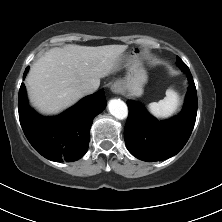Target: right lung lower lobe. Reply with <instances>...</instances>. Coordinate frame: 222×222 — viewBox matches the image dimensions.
<instances>
[{
    "label": "right lung lower lobe",
    "mask_w": 222,
    "mask_h": 222,
    "mask_svg": "<svg viewBox=\"0 0 222 222\" xmlns=\"http://www.w3.org/2000/svg\"><path fill=\"white\" fill-rule=\"evenodd\" d=\"M27 71L28 67L23 77ZM105 106V94L100 90L61 115L44 118L28 106L23 83L19 90V120L25 136L38 153L56 162L76 161L86 153L92 120Z\"/></svg>",
    "instance_id": "right-lung-lower-lobe-1"
}]
</instances>
